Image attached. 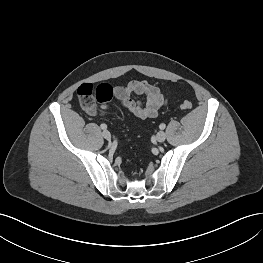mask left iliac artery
I'll return each instance as SVG.
<instances>
[{
    "mask_svg": "<svg viewBox=\"0 0 263 263\" xmlns=\"http://www.w3.org/2000/svg\"><path fill=\"white\" fill-rule=\"evenodd\" d=\"M165 127H166V125L165 124H160V126H159V128L161 129V130H163V129H165Z\"/></svg>",
    "mask_w": 263,
    "mask_h": 263,
    "instance_id": "left-iliac-artery-1",
    "label": "left iliac artery"
}]
</instances>
